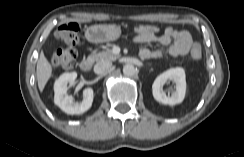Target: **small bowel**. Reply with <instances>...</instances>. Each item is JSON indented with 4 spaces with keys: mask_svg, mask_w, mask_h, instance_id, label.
Instances as JSON below:
<instances>
[{
    "mask_svg": "<svg viewBox=\"0 0 244 157\" xmlns=\"http://www.w3.org/2000/svg\"><path fill=\"white\" fill-rule=\"evenodd\" d=\"M134 41L140 44L158 42L161 45L168 46V53L173 57L188 54L193 45L191 34L188 31L173 27L166 28L161 35H137ZM161 55V50H150L148 48L140 50V56L143 59H156Z\"/></svg>",
    "mask_w": 244,
    "mask_h": 157,
    "instance_id": "obj_1",
    "label": "small bowel"
}]
</instances>
